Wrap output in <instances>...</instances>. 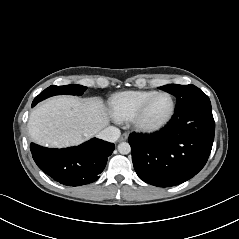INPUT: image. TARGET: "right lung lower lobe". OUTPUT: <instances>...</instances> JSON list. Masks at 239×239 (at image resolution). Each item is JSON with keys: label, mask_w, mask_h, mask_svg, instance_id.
Listing matches in <instances>:
<instances>
[{"label": "right lung lower lobe", "mask_w": 239, "mask_h": 239, "mask_svg": "<svg viewBox=\"0 0 239 239\" xmlns=\"http://www.w3.org/2000/svg\"><path fill=\"white\" fill-rule=\"evenodd\" d=\"M36 104L33 102L32 107ZM114 148V144L97 138L63 149L45 148L34 143L30 145L37 166L55 181L68 186L96 181Z\"/></svg>", "instance_id": "98d812e1"}]
</instances>
